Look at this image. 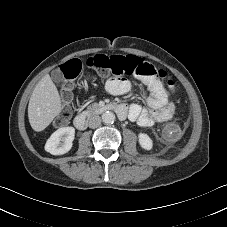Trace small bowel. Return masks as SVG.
Segmentation results:
<instances>
[{
  "label": "small bowel",
  "mask_w": 227,
  "mask_h": 227,
  "mask_svg": "<svg viewBox=\"0 0 227 227\" xmlns=\"http://www.w3.org/2000/svg\"><path fill=\"white\" fill-rule=\"evenodd\" d=\"M147 91L143 93L148 108H142L138 104H131L128 109V117L136 121L142 127H151L157 122H166L173 118L175 105L169 102L166 92L159 79H148L139 76ZM106 90L114 96H123L132 90L129 80L115 78L107 81Z\"/></svg>",
  "instance_id": "obj_1"
}]
</instances>
